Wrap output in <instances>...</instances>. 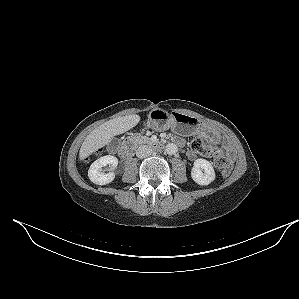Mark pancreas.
Here are the masks:
<instances>
[{"instance_id": "1", "label": "pancreas", "mask_w": 299, "mask_h": 299, "mask_svg": "<svg viewBox=\"0 0 299 299\" xmlns=\"http://www.w3.org/2000/svg\"><path fill=\"white\" fill-rule=\"evenodd\" d=\"M131 140H132L135 144H142V143H148V142H149V138H148V137L141 136V135L133 136V137L131 138Z\"/></svg>"}]
</instances>
